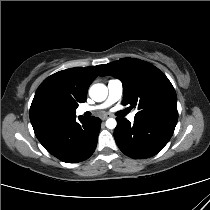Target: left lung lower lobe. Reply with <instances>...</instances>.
<instances>
[{
	"mask_svg": "<svg viewBox=\"0 0 210 210\" xmlns=\"http://www.w3.org/2000/svg\"><path fill=\"white\" fill-rule=\"evenodd\" d=\"M116 120L115 141L125 155L134 159L159 153L170 140L176 126V123L164 120L134 119L133 124L125 118Z\"/></svg>",
	"mask_w": 210,
	"mask_h": 210,
	"instance_id": "obj_1",
	"label": "left lung lower lobe"
}]
</instances>
